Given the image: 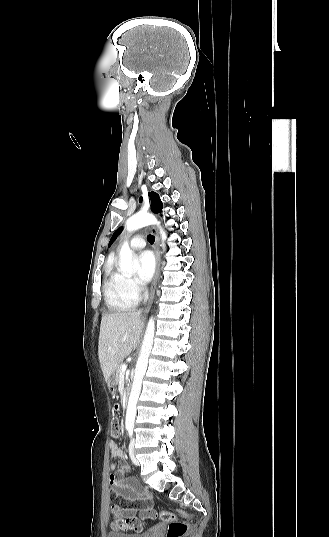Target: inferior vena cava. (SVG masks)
<instances>
[{"label": "inferior vena cava", "mask_w": 329, "mask_h": 537, "mask_svg": "<svg viewBox=\"0 0 329 537\" xmlns=\"http://www.w3.org/2000/svg\"><path fill=\"white\" fill-rule=\"evenodd\" d=\"M147 299H148V291L146 290L144 293V303L147 301Z\"/></svg>", "instance_id": "1"}]
</instances>
